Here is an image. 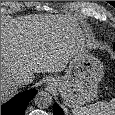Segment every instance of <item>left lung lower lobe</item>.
Here are the masks:
<instances>
[{
  "label": "left lung lower lobe",
  "mask_w": 115,
  "mask_h": 115,
  "mask_svg": "<svg viewBox=\"0 0 115 115\" xmlns=\"http://www.w3.org/2000/svg\"><path fill=\"white\" fill-rule=\"evenodd\" d=\"M54 115H64L62 109L57 104H54Z\"/></svg>",
  "instance_id": "left-lung-lower-lobe-1"
}]
</instances>
